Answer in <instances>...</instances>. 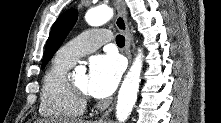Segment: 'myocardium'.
Instances as JSON below:
<instances>
[{
	"label": "myocardium",
	"mask_w": 221,
	"mask_h": 123,
	"mask_svg": "<svg viewBox=\"0 0 221 123\" xmlns=\"http://www.w3.org/2000/svg\"><path fill=\"white\" fill-rule=\"evenodd\" d=\"M68 84L74 95L80 99L83 103H87L92 101L93 97L90 93L85 92L81 90L79 87H77L72 80H68Z\"/></svg>",
	"instance_id": "f54148a6"
}]
</instances>
